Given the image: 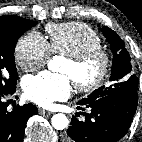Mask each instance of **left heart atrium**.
<instances>
[{
    "mask_svg": "<svg viewBox=\"0 0 142 142\" xmlns=\"http://www.w3.org/2000/svg\"><path fill=\"white\" fill-rule=\"evenodd\" d=\"M24 92L29 100L47 107L70 96L71 78L67 74L44 71L24 80Z\"/></svg>",
    "mask_w": 142,
    "mask_h": 142,
    "instance_id": "39dd6f15",
    "label": "left heart atrium"
}]
</instances>
